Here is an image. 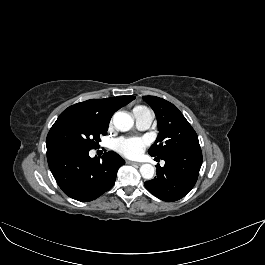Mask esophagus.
Here are the masks:
<instances>
[{"label": "esophagus", "mask_w": 265, "mask_h": 265, "mask_svg": "<svg viewBox=\"0 0 265 265\" xmlns=\"http://www.w3.org/2000/svg\"><path fill=\"white\" fill-rule=\"evenodd\" d=\"M128 163H129V164H133V165H138V166H140V165H141V163H139V162H132V161H128Z\"/></svg>", "instance_id": "obj_1"}]
</instances>
